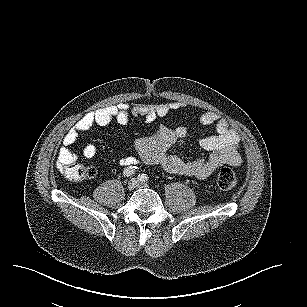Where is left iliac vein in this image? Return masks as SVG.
Segmentation results:
<instances>
[{
    "label": "left iliac vein",
    "mask_w": 307,
    "mask_h": 307,
    "mask_svg": "<svg viewBox=\"0 0 307 307\" xmlns=\"http://www.w3.org/2000/svg\"><path fill=\"white\" fill-rule=\"evenodd\" d=\"M136 186H137V187H148V184H147V183H142V182H140V183H137Z\"/></svg>",
    "instance_id": "4c4485c4"
}]
</instances>
